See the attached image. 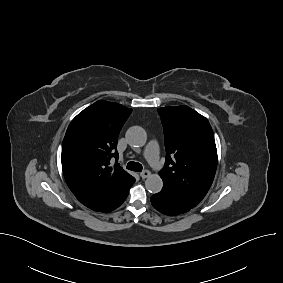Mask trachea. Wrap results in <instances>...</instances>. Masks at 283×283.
Returning a JSON list of instances; mask_svg holds the SVG:
<instances>
[{
  "label": "trachea",
  "mask_w": 283,
  "mask_h": 283,
  "mask_svg": "<svg viewBox=\"0 0 283 283\" xmlns=\"http://www.w3.org/2000/svg\"><path fill=\"white\" fill-rule=\"evenodd\" d=\"M126 168L131 170V171H136V172H141L142 169H143V167L140 163L134 162V161L129 162L127 164Z\"/></svg>",
  "instance_id": "obj_1"
}]
</instances>
